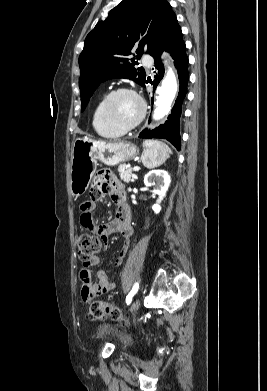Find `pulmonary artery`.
I'll return each mask as SVG.
<instances>
[{
  "instance_id": "obj_1",
  "label": "pulmonary artery",
  "mask_w": 267,
  "mask_h": 391,
  "mask_svg": "<svg viewBox=\"0 0 267 391\" xmlns=\"http://www.w3.org/2000/svg\"><path fill=\"white\" fill-rule=\"evenodd\" d=\"M142 62L143 64L147 67V68H151L152 67V64H153V59L151 56L149 55H145L142 59Z\"/></svg>"
}]
</instances>
